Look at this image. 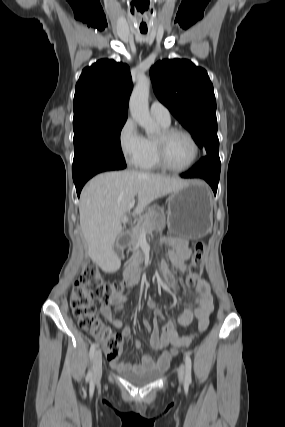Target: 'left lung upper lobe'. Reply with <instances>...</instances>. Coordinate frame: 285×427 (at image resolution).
Returning <instances> with one entry per match:
<instances>
[{"mask_svg":"<svg viewBox=\"0 0 285 427\" xmlns=\"http://www.w3.org/2000/svg\"><path fill=\"white\" fill-rule=\"evenodd\" d=\"M158 99L207 155L218 156L216 100L205 69L186 59L162 60L150 69Z\"/></svg>","mask_w":285,"mask_h":427,"instance_id":"obj_1","label":"left lung upper lobe"}]
</instances>
